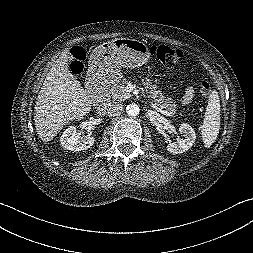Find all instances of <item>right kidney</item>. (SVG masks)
Segmentation results:
<instances>
[{
    "mask_svg": "<svg viewBox=\"0 0 253 253\" xmlns=\"http://www.w3.org/2000/svg\"><path fill=\"white\" fill-rule=\"evenodd\" d=\"M76 127H68L61 135V145L71 151H82L90 148L94 142L95 138L91 135L84 136L80 138L76 134Z\"/></svg>",
    "mask_w": 253,
    "mask_h": 253,
    "instance_id": "right-kidney-1",
    "label": "right kidney"
}]
</instances>
